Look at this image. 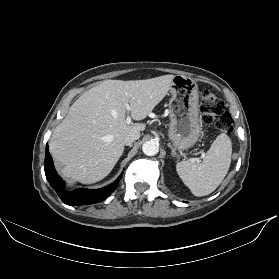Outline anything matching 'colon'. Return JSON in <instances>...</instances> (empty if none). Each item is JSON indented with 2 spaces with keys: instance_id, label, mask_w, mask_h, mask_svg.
Masks as SVG:
<instances>
[{
  "instance_id": "obj_1",
  "label": "colon",
  "mask_w": 279,
  "mask_h": 279,
  "mask_svg": "<svg viewBox=\"0 0 279 279\" xmlns=\"http://www.w3.org/2000/svg\"><path fill=\"white\" fill-rule=\"evenodd\" d=\"M200 112L207 124L214 126L222 132H230L233 126L231 115L225 110L222 101L211 91L203 90L200 93Z\"/></svg>"
}]
</instances>
